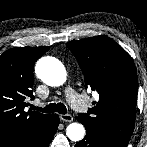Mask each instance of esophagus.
Masks as SVG:
<instances>
[{"label": "esophagus", "mask_w": 147, "mask_h": 147, "mask_svg": "<svg viewBox=\"0 0 147 147\" xmlns=\"http://www.w3.org/2000/svg\"><path fill=\"white\" fill-rule=\"evenodd\" d=\"M60 119L64 122H72L73 121V117L70 114H62V115H60Z\"/></svg>", "instance_id": "34e87169"}]
</instances>
